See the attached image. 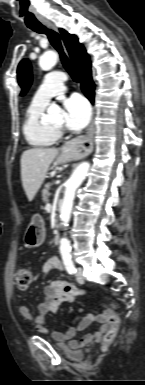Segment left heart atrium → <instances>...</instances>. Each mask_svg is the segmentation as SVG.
<instances>
[{"instance_id": "left-heart-atrium-1", "label": "left heart atrium", "mask_w": 145, "mask_h": 385, "mask_svg": "<svg viewBox=\"0 0 145 385\" xmlns=\"http://www.w3.org/2000/svg\"><path fill=\"white\" fill-rule=\"evenodd\" d=\"M65 110V124L69 129L80 130L90 120V106L81 95H72L63 102Z\"/></svg>"}]
</instances>
